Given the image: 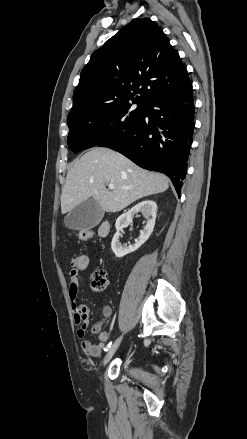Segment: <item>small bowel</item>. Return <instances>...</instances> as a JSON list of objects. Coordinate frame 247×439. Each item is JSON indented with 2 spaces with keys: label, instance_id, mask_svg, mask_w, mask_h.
Masks as SVG:
<instances>
[{
  "label": "small bowel",
  "instance_id": "small-bowel-1",
  "mask_svg": "<svg viewBox=\"0 0 247 439\" xmlns=\"http://www.w3.org/2000/svg\"><path fill=\"white\" fill-rule=\"evenodd\" d=\"M79 272V270L73 268L69 273V296L72 301L73 316L77 325V336L81 339L80 346L82 350L90 356L98 357L101 355L110 336V332L104 329L103 326L111 317L112 308L109 305H105L102 308V318L90 328L92 333L98 334V343L93 344L85 339L89 328V308L86 305L78 304L76 301L79 287Z\"/></svg>",
  "mask_w": 247,
  "mask_h": 439
}]
</instances>
